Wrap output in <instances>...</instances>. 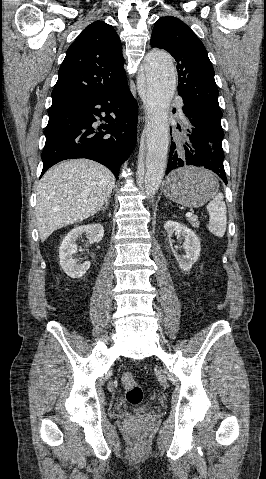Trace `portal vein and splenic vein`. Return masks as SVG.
Here are the masks:
<instances>
[{
  "mask_svg": "<svg viewBox=\"0 0 266 479\" xmlns=\"http://www.w3.org/2000/svg\"><path fill=\"white\" fill-rule=\"evenodd\" d=\"M186 217H187V218L193 217V212H188V213H186Z\"/></svg>",
  "mask_w": 266,
  "mask_h": 479,
  "instance_id": "portal-vein-and-splenic-vein-1",
  "label": "portal vein and splenic vein"
}]
</instances>
